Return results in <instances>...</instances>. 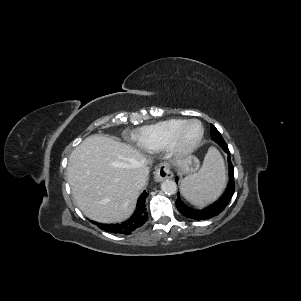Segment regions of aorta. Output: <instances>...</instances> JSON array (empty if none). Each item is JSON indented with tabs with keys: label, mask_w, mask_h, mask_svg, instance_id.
<instances>
[{
	"label": "aorta",
	"mask_w": 301,
	"mask_h": 301,
	"mask_svg": "<svg viewBox=\"0 0 301 301\" xmlns=\"http://www.w3.org/2000/svg\"><path fill=\"white\" fill-rule=\"evenodd\" d=\"M161 190L168 195H173L177 192V184L173 180H165L161 184Z\"/></svg>",
	"instance_id": "aorta-1"
}]
</instances>
